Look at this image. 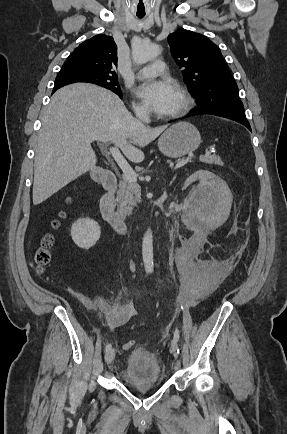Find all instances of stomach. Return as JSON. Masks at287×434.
<instances>
[{
    "label": "stomach",
    "instance_id": "1",
    "mask_svg": "<svg viewBox=\"0 0 287 434\" xmlns=\"http://www.w3.org/2000/svg\"><path fill=\"white\" fill-rule=\"evenodd\" d=\"M200 143L201 136L194 125L178 122L160 136L158 148L165 156L177 158L195 151Z\"/></svg>",
    "mask_w": 287,
    "mask_h": 434
}]
</instances>
